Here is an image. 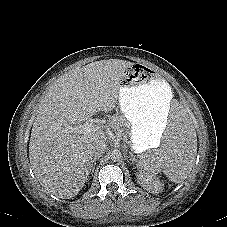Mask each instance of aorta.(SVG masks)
I'll return each instance as SVG.
<instances>
[{"label":"aorta","mask_w":227,"mask_h":227,"mask_svg":"<svg viewBox=\"0 0 227 227\" xmlns=\"http://www.w3.org/2000/svg\"><path fill=\"white\" fill-rule=\"evenodd\" d=\"M122 157V154L119 150H113L111 153H110V158L112 161L116 162V161H119Z\"/></svg>","instance_id":"1"}]
</instances>
